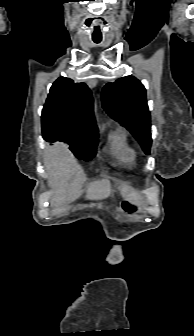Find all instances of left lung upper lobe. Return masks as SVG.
Wrapping results in <instances>:
<instances>
[{
	"mask_svg": "<svg viewBox=\"0 0 194 336\" xmlns=\"http://www.w3.org/2000/svg\"><path fill=\"white\" fill-rule=\"evenodd\" d=\"M102 105L107 114L125 126L149 153L151 122L146 91L135 77L127 76L108 83L102 90Z\"/></svg>",
	"mask_w": 194,
	"mask_h": 336,
	"instance_id": "left-lung-upper-lobe-1",
	"label": "left lung upper lobe"
}]
</instances>
